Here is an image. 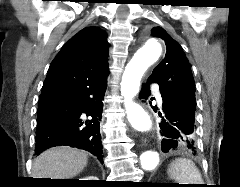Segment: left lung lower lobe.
I'll return each mask as SVG.
<instances>
[{
  "instance_id": "1",
  "label": "left lung lower lobe",
  "mask_w": 240,
  "mask_h": 187,
  "mask_svg": "<svg viewBox=\"0 0 240 187\" xmlns=\"http://www.w3.org/2000/svg\"><path fill=\"white\" fill-rule=\"evenodd\" d=\"M153 83L148 79L146 84L142 85L140 98L147 100L151 91L149 85ZM163 100V117L160 122L161 135L165 138L161 142V149L164 153L176 148H182L189 152L196 153L195 141V110L196 105L182 100L179 97L171 95L160 90ZM152 100V98H151ZM151 104V103H150ZM155 112L158 111L157 106H152Z\"/></svg>"
}]
</instances>
